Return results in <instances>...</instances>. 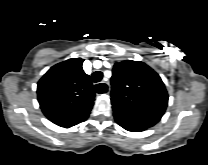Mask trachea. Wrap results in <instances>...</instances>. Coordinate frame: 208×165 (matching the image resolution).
<instances>
[{
	"label": "trachea",
	"instance_id": "3493384b",
	"mask_svg": "<svg viewBox=\"0 0 208 165\" xmlns=\"http://www.w3.org/2000/svg\"><path fill=\"white\" fill-rule=\"evenodd\" d=\"M102 77H103L102 72L96 71L92 74V81L95 82V83L100 82ZM94 90L97 93L102 94V93H105L107 91V87L105 85H102V84H97V85L94 86Z\"/></svg>",
	"mask_w": 208,
	"mask_h": 165
}]
</instances>
